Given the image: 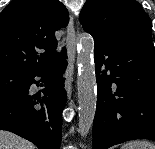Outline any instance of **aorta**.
Segmentation results:
<instances>
[{
  "label": "aorta",
  "mask_w": 155,
  "mask_h": 149,
  "mask_svg": "<svg viewBox=\"0 0 155 149\" xmlns=\"http://www.w3.org/2000/svg\"><path fill=\"white\" fill-rule=\"evenodd\" d=\"M94 40L91 35H81L78 42V127L81 136L89 133L96 112L97 88L93 60Z\"/></svg>",
  "instance_id": "762f6f07"
}]
</instances>
